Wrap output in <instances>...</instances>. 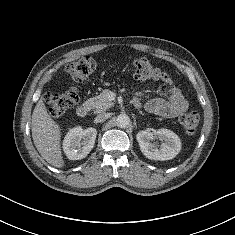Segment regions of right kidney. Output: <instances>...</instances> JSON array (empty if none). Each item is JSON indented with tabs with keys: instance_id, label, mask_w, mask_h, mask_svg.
Segmentation results:
<instances>
[{
	"instance_id": "right-kidney-1",
	"label": "right kidney",
	"mask_w": 235,
	"mask_h": 235,
	"mask_svg": "<svg viewBox=\"0 0 235 235\" xmlns=\"http://www.w3.org/2000/svg\"><path fill=\"white\" fill-rule=\"evenodd\" d=\"M97 131L95 128L82 129L80 126L69 130L63 140V150L70 160L85 158L94 147Z\"/></svg>"
}]
</instances>
